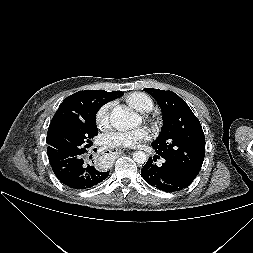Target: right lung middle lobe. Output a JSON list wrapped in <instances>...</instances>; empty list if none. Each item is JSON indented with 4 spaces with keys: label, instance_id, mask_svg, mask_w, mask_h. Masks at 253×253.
<instances>
[{
    "label": "right lung middle lobe",
    "instance_id": "right-lung-middle-lobe-1",
    "mask_svg": "<svg viewBox=\"0 0 253 253\" xmlns=\"http://www.w3.org/2000/svg\"><path fill=\"white\" fill-rule=\"evenodd\" d=\"M101 105H94L82 120L59 127L47 139L49 158L60 159L86 152L91 140L98 134L96 113Z\"/></svg>",
    "mask_w": 253,
    "mask_h": 253
}]
</instances>
